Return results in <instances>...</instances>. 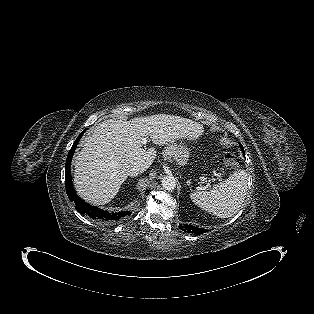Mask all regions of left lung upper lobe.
<instances>
[{"mask_svg": "<svg viewBox=\"0 0 314 314\" xmlns=\"http://www.w3.org/2000/svg\"><path fill=\"white\" fill-rule=\"evenodd\" d=\"M240 148L244 151L243 146L240 144Z\"/></svg>", "mask_w": 314, "mask_h": 314, "instance_id": "left-lung-upper-lobe-1", "label": "left lung upper lobe"}]
</instances>
